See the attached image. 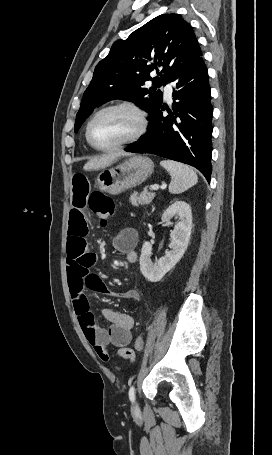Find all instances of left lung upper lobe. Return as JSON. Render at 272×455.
I'll list each match as a JSON object with an SVG mask.
<instances>
[{
    "label": "left lung upper lobe",
    "instance_id": "left-lung-upper-lobe-1",
    "mask_svg": "<svg viewBox=\"0 0 272 455\" xmlns=\"http://www.w3.org/2000/svg\"><path fill=\"white\" fill-rule=\"evenodd\" d=\"M201 55L192 27L180 15L155 17L128 39L116 41L97 64L76 115L75 132L95 107L113 99L131 101L150 115L162 102L157 87ZM154 73L157 77L151 78ZM149 80L153 86L145 88Z\"/></svg>",
    "mask_w": 272,
    "mask_h": 455
}]
</instances>
